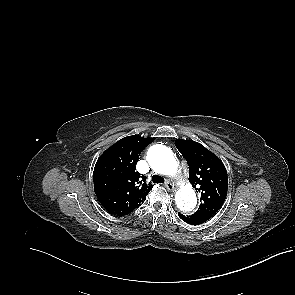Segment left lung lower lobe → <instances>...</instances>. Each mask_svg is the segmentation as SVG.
<instances>
[{
	"label": "left lung lower lobe",
	"mask_w": 295,
	"mask_h": 295,
	"mask_svg": "<svg viewBox=\"0 0 295 295\" xmlns=\"http://www.w3.org/2000/svg\"><path fill=\"white\" fill-rule=\"evenodd\" d=\"M178 216L186 223L191 225H199L207 220H209L212 216L206 215V214H200V213H194L190 216H185L180 213H178Z\"/></svg>",
	"instance_id": "obj_1"
}]
</instances>
